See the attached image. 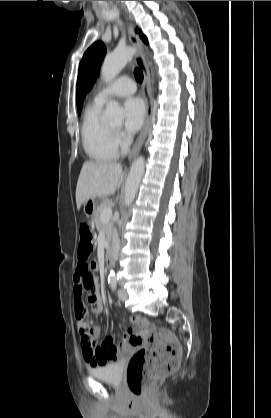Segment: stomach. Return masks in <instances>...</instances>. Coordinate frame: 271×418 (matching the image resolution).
<instances>
[{"label":"stomach","mask_w":271,"mask_h":418,"mask_svg":"<svg viewBox=\"0 0 271 418\" xmlns=\"http://www.w3.org/2000/svg\"><path fill=\"white\" fill-rule=\"evenodd\" d=\"M100 205V199L98 198H89L83 203V210L87 216L94 215L98 206Z\"/></svg>","instance_id":"obj_1"}]
</instances>
